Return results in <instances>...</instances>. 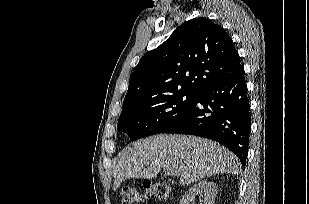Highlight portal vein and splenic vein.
<instances>
[{
    "instance_id": "portal-vein-and-splenic-vein-1",
    "label": "portal vein and splenic vein",
    "mask_w": 309,
    "mask_h": 204,
    "mask_svg": "<svg viewBox=\"0 0 309 204\" xmlns=\"http://www.w3.org/2000/svg\"><path fill=\"white\" fill-rule=\"evenodd\" d=\"M167 175L176 176L177 173L173 168H166Z\"/></svg>"
}]
</instances>
